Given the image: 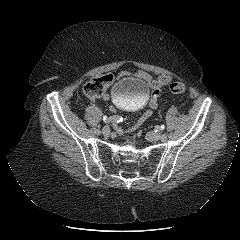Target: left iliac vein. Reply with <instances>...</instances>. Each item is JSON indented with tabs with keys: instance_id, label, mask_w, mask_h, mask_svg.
Returning a JSON list of instances; mask_svg holds the SVG:
<instances>
[{
	"instance_id": "left-iliac-vein-1",
	"label": "left iliac vein",
	"mask_w": 240,
	"mask_h": 240,
	"mask_svg": "<svg viewBox=\"0 0 240 240\" xmlns=\"http://www.w3.org/2000/svg\"><path fill=\"white\" fill-rule=\"evenodd\" d=\"M147 137L150 141H158V140L164 141L166 139V136L162 137L160 135V132H157V133L150 132V133H148Z\"/></svg>"
}]
</instances>
